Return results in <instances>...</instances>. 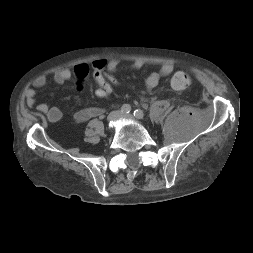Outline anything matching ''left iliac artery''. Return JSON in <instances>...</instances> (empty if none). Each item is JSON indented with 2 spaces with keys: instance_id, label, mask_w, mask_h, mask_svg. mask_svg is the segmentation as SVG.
<instances>
[{
  "instance_id": "44dca946",
  "label": "left iliac artery",
  "mask_w": 253,
  "mask_h": 253,
  "mask_svg": "<svg viewBox=\"0 0 253 253\" xmlns=\"http://www.w3.org/2000/svg\"><path fill=\"white\" fill-rule=\"evenodd\" d=\"M133 115L137 118V119H143L144 118V112L141 109H136L133 113Z\"/></svg>"
}]
</instances>
